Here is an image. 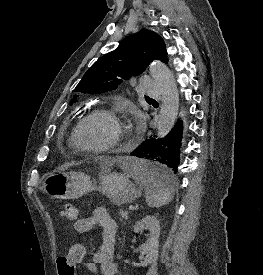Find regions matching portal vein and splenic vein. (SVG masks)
<instances>
[{
	"label": "portal vein and splenic vein",
	"mask_w": 263,
	"mask_h": 275,
	"mask_svg": "<svg viewBox=\"0 0 263 275\" xmlns=\"http://www.w3.org/2000/svg\"><path fill=\"white\" fill-rule=\"evenodd\" d=\"M134 209V206H129V210H133Z\"/></svg>",
	"instance_id": "18ae733b"
}]
</instances>
